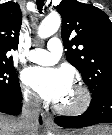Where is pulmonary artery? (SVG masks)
I'll use <instances>...</instances> for the list:
<instances>
[{"label": "pulmonary artery", "mask_w": 112, "mask_h": 135, "mask_svg": "<svg viewBox=\"0 0 112 135\" xmlns=\"http://www.w3.org/2000/svg\"><path fill=\"white\" fill-rule=\"evenodd\" d=\"M63 46L58 38H51L47 43V48H37L28 53V59L40 65H53L57 63L61 54Z\"/></svg>", "instance_id": "pulmonary-artery-1"}]
</instances>
